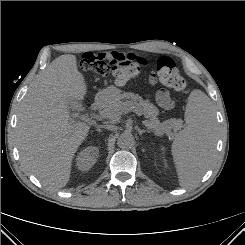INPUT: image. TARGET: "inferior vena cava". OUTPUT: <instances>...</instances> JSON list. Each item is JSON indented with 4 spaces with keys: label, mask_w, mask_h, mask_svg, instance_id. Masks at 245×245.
<instances>
[{
    "label": "inferior vena cava",
    "mask_w": 245,
    "mask_h": 245,
    "mask_svg": "<svg viewBox=\"0 0 245 245\" xmlns=\"http://www.w3.org/2000/svg\"><path fill=\"white\" fill-rule=\"evenodd\" d=\"M101 127H104L108 130L115 131L117 127L115 125H101Z\"/></svg>",
    "instance_id": "inferior-vena-cava-1"
}]
</instances>
